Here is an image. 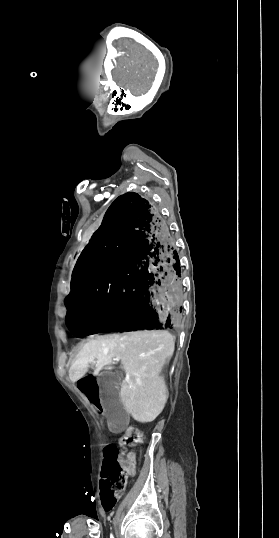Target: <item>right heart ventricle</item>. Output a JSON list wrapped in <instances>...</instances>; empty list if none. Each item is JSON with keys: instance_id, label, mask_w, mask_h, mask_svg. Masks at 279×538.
<instances>
[{"instance_id": "e07e8e85", "label": "right heart ventricle", "mask_w": 279, "mask_h": 538, "mask_svg": "<svg viewBox=\"0 0 279 538\" xmlns=\"http://www.w3.org/2000/svg\"><path fill=\"white\" fill-rule=\"evenodd\" d=\"M58 230H59L60 233L63 234V226L62 225H58Z\"/></svg>"}]
</instances>
